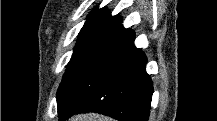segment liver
I'll use <instances>...</instances> for the list:
<instances>
[{
  "mask_svg": "<svg viewBox=\"0 0 217 121\" xmlns=\"http://www.w3.org/2000/svg\"><path fill=\"white\" fill-rule=\"evenodd\" d=\"M73 121H112L111 118L97 114L78 115L71 118Z\"/></svg>",
  "mask_w": 217,
  "mask_h": 121,
  "instance_id": "1",
  "label": "liver"
}]
</instances>
